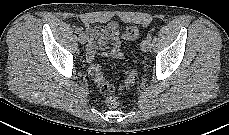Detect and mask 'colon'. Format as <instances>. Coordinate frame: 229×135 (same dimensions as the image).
<instances>
[{
	"instance_id": "5ec220e1",
	"label": "colon",
	"mask_w": 229,
	"mask_h": 135,
	"mask_svg": "<svg viewBox=\"0 0 229 135\" xmlns=\"http://www.w3.org/2000/svg\"><path fill=\"white\" fill-rule=\"evenodd\" d=\"M138 33L139 31L137 27L130 26L127 27L123 32V38L124 40L130 42L138 36ZM93 57V53L90 52L89 58L92 60ZM89 74L93 77L95 83L100 88V90L110 95V97L107 99V105L110 108H116L119 105L118 100L113 95L122 92L127 85L133 83V81L136 79V73L131 72L127 79L124 80L122 83L117 85L113 84L105 78L101 66L93 61H91L89 64Z\"/></svg>"
}]
</instances>
